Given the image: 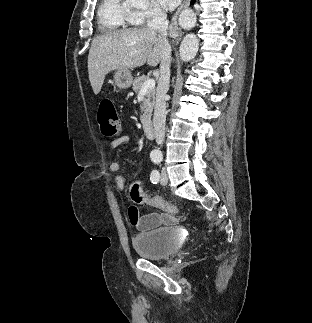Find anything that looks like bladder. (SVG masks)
Masks as SVG:
<instances>
[{
  "label": "bladder",
  "instance_id": "31cf9c89",
  "mask_svg": "<svg viewBox=\"0 0 312 323\" xmlns=\"http://www.w3.org/2000/svg\"><path fill=\"white\" fill-rule=\"evenodd\" d=\"M133 246L140 257L163 259L177 253L179 239L175 228H161L134 236Z\"/></svg>",
  "mask_w": 312,
  "mask_h": 323
}]
</instances>
